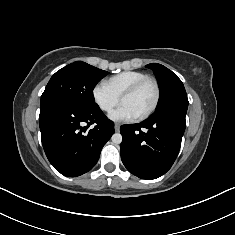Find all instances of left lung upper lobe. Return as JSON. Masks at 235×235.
<instances>
[{"instance_id":"5c2ea615","label":"left lung upper lobe","mask_w":235,"mask_h":235,"mask_svg":"<svg viewBox=\"0 0 235 235\" xmlns=\"http://www.w3.org/2000/svg\"><path fill=\"white\" fill-rule=\"evenodd\" d=\"M146 67L153 70L161 90L158 107L152 116L170 111L186 114L188 98L182 81L171 70L161 64L151 63Z\"/></svg>"}]
</instances>
